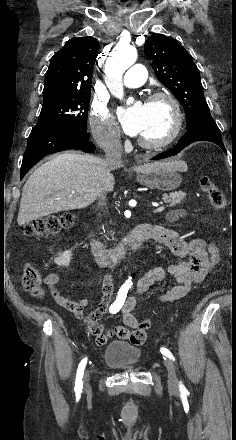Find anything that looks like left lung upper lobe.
Wrapping results in <instances>:
<instances>
[{"label":"left lung upper lobe","instance_id":"1","mask_svg":"<svg viewBox=\"0 0 236 440\" xmlns=\"http://www.w3.org/2000/svg\"><path fill=\"white\" fill-rule=\"evenodd\" d=\"M144 50L152 60L157 78L182 104L186 113L187 129L202 119L211 117L199 70L180 43L162 34H154L146 41Z\"/></svg>","mask_w":236,"mask_h":440}]
</instances>
